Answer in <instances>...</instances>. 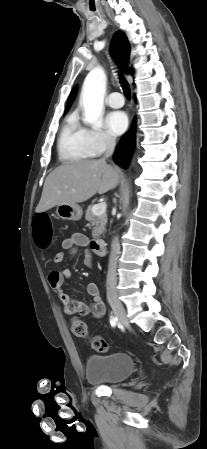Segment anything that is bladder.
<instances>
[{"instance_id": "31cf9c89", "label": "bladder", "mask_w": 207, "mask_h": 449, "mask_svg": "<svg viewBox=\"0 0 207 449\" xmlns=\"http://www.w3.org/2000/svg\"><path fill=\"white\" fill-rule=\"evenodd\" d=\"M134 370V360L126 353L92 354L86 360L85 377L91 384L114 385L126 380Z\"/></svg>"}]
</instances>
